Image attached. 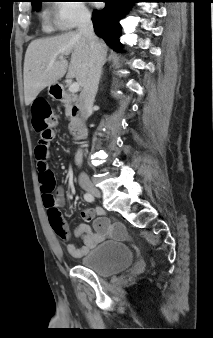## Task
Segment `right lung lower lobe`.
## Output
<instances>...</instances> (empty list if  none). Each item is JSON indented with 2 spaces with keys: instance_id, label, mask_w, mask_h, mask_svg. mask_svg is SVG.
Masks as SVG:
<instances>
[{
  "instance_id": "1",
  "label": "right lung lower lobe",
  "mask_w": 213,
  "mask_h": 338,
  "mask_svg": "<svg viewBox=\"0 0 213 338\" xmlns=\"http://www.w3.org/2000/svg\"><path fill=\"white\" fill-rule=\"evenodd\" d=\"M137 1L104 0L105 7L93 12L92 20L95 32L115 51H122V45L119 42L121 33L119 20L126 16L132 4Z\"/></svg>"
}]
</instances>
